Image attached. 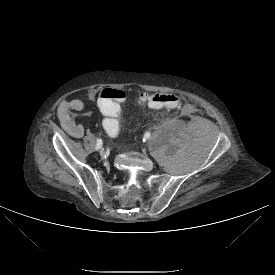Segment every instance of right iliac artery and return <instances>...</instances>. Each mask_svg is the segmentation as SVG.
Returning a JSON list of instances; mask_svg holds the SVG:
<instances>
[{
	"instance_id": "82829eb1",
	"label": "right iliac artery",
	"mask_w": 275,
	"mask_h": 275,
	"mask_svg": "<svg viewBox=\"0 0 275 275\" xmlns=\"http://www.w3.org/2000/svg\"><path fill=\"white\" fill-rule=\"evenodd\" d=\"M102 139H97V143H96V146H95V149L98 150L102 147Z\"/></svg>"
}]
</instances>
